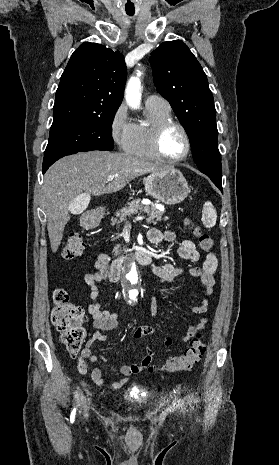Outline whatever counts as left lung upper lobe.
I'll return each mask as SVG.
<instances>
[{
    "label": "left lung upper lobe",
    "instance_id": "left-lung-upper-lobe-1",
    "mask_svg": "<svg viewBox=\"0 0 279 465\" xmlns=\"http://www.w3.org/2000/svg\"><path fill=\"white\" fill-rule=\"evenodd\" d=\"M150 59L157 91L185 128L196 165L222 188L214 99L200 63L181 40L162 43Z\"/></svg>",
    "mask_w": 279,
    "mask_h": 465
}]
</instances>
